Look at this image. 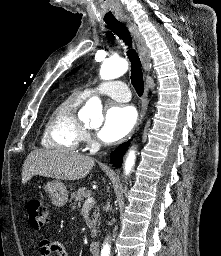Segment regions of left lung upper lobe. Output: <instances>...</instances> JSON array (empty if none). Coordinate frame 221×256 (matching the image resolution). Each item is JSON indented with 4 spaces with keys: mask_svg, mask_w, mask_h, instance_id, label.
<instances>
[{
    "mask_svg": "<svg viewBox=\"0 0 221 256\" xmlns=\"http://www.w3.org/2000/svg\"><path fill=\"white\" fill-rule=\"evenodd\" d=\"M78 69H79V67H78V68H76V69H74L71 73L76 72ZM71 73H69L68 75H70Z\"/></svg>",
    "mask_w": 221,
    "mask_h": 256,
    "instance_id": "5c2ea615",
    "label": "left lung upper lobe"
}]
</instances>
